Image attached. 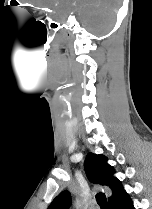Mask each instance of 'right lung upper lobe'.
<instances>
[{
    "instance_id": "right-lung-upper-lobe-1",
    "label": "right lung upper lobe",
    "mask_w": 152,
    "mask_h": 209,
    "mask_svg": "<svg viewBox=\"0 0 152 209\" xmlns=\"http://www.w3.org/2000/svg\"><path fill=\"white\" fill-rule=\"evenodd\" d=\"M84 168L91 182L107 186L112 190V196L108 199V202L123 188L121 182L113 176L115 170L107 163L105 156L88 153ZM70 204L69 191H63L52 201L48 209H68Z\"/></svg>"
}]
</instances>
